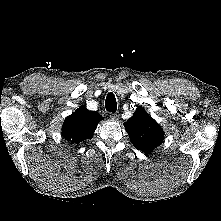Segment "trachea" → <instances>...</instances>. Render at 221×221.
Segmentation results:
<instances>
[{
  "label": "trachea",
  "mask_w": 221,
  "mask_h": 221,
  "mask_svg": "<svg viewBox=\"0 0 221 221\" xmlns=\"http://www.w3.org/2000/svg\"><path fill=\"white\" fill-rule=\"evenodd\" d=\"M105 108L108 112H116L117 110V102L115 95L113 93H108L105 100Z\"/></svg>",
  "instance_id": "3493384b"
}]
</instances>
